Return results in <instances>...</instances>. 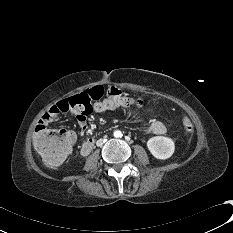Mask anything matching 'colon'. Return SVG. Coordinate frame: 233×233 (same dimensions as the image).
Masks as SVG:
<instances>
[{
  "mask_svg": "<svg viewBox=\"0 0 233 233\" xmlns=\"http://www.w3.org/2000/svg\"><path fill=\"white\" fill-rule=\"evenodd\" d=\"M110 89V88H109ZM109 89L95 85L85 91L61 101L64 108L89 111L92 104L99 101ZM184 130L191 134L193 124L187 114L179 116ZM33 144L42 161L51 168H58L64 164L73 148V136L68 130H49L37 127L33 137Z\"/></svg>",
  "mask_w": 233,
  "mask_h": 233,
  "instance_id": "colon-1",
  "label": "colon"
}]
</instances>
